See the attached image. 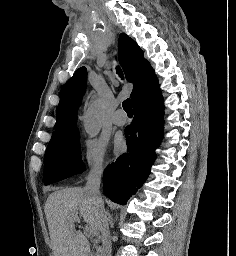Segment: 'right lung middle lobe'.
I'll return each instance as SVG.
<instances>
[{
	"label": "right lung middle lobe",
	"mask_w": 236,
	"mask_h": 256,
	"mask_svg": "<svg viewBox=\"0 0 236 256\" xmlns=\"http://www.w3.org/2000/svg\"><path fill=\"white\" fill-rule=\"evenodd\" d=\"M78 129L50 141L44 156V184L63 180L81 173L85 166L81 160Z\"/></svg>",
	"instance_id": "1"
}]
</instances>
